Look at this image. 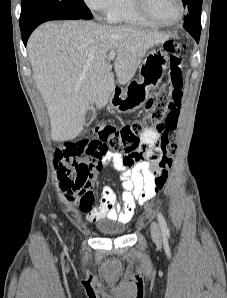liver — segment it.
I'll return each instance as SVG.
<instances>
[{
	"mask_svg": "<svg viewBox=\"0 0 227 298\" xmlns=\"http://www.w3.org/2000/svg\"><path fill=\"white\" fill-rule=\"evenodd\" d=\"M169 34L128 26H110L85 20L47 22L27 44L34 81L50 117L51 138H76L86 110L107 105L115 89L107 53L114 51L119 84L134 77L146 52L169 39Z\"/></svg>",
	"mask_w": 227,
	"mask_h": 298,
	"instance_id": "obj_1",
	"label": "liver"
}]
</instances>
